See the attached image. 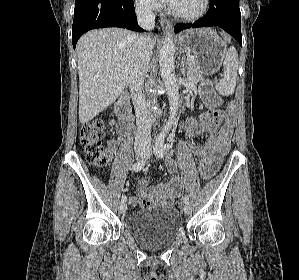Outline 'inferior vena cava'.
I'll return each instance as SVG.
<instances>
[{
    "instance_id": "obj_1",
    "label": "inferior vena cava",
    "mask_w": 299,
    "mask_h": 280,
    "mask_svg": "<svg viewBox=\"0 0 299 280\" xmlns=\"http://www.w3.org/2000/svg\"><path fill=\"white\" fill-rule=\"evenodd\" d=\"M136 14L138 24L141 28L144 30H151L154 28L155 15L148 2H138L136 4ZM152 48L149 35L144 34L138 37L135 42V55L128 78V84L136 113L137 131L135 145L149 144L151 141L152 120L148 105L146 104L142 93V85L151 60Z\"/></svg>"
}]
</instances>
